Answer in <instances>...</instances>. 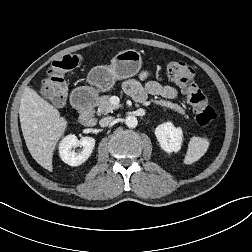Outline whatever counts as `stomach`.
Here are the masks:
<instances>
[{
	"instance_id": "stomach-1",
	"label": "stomach",
	"mask_w": 252,
	"mask_h": 252,
	"mask_svg": "<svg viewBox=\"0 0 252 252\" xmlns=\"http://www.w3.org/2000/svg\"><path fill=\"white\" fill-rule=\"evenodd\" d=\"M142 67V56L136 49L120 51L108 66L94 67L87 76L91 87H79L77 91H88L95 94L113 88L116 80H123L135 76Z\"/></svg>"
}]
</instances>
